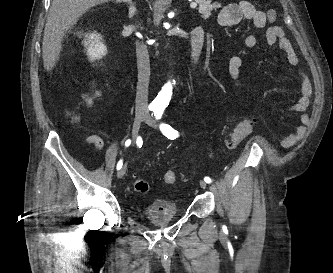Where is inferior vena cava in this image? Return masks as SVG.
<instances>
[{"mask_svg":"<svg viewBox=\"0 0 333 273\" xmlns=\"http://www.w3.org/2000/svg\"><path fill=\"white\" fill-rule=\"evenodd\" d=\"M138 83L136 92V113L147 112L148 87L150 80L149 54L146 45L136 43Z\"/></svg>","mask_w":333,"mask_h":273,"instance_id":"inferior-vena-cava-1","label":"inferior vena cava"}]
</instances>
